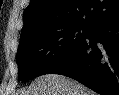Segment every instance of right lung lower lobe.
<instances>
[{"mask_svg":"<svg viewBox=\"0 0 119 95\" xmlns=\"http://www.w3.org/2000/svg\"><path fill=\"white\" fill-rule=\"evenodd\" d=\"M60 74L102 95H119V16L87 35L44 74Z\"/></svg>","mask_w":119,"mask_h":95,"instance_id":"98d812e1","label":"right lung lower lobe"}]
</instances>
